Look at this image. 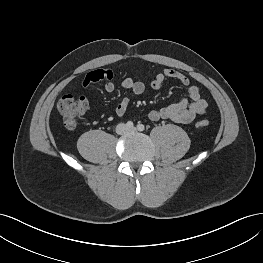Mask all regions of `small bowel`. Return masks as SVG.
Returning <instances> with one entry per match:
<instances>
[{
    "instance_id": "obj_1",
    "label": "small bowel",
    "mask_w": 263,
    "mask_h": 263,
    "mask_svg": "<svg viewBox=\"0 0 263 263\" xmlns=\"http://www.w3.org/2000/svg\"><path fill=\"white\" fill-rule=\"evenodd\" d=\"M168 78L178 81L187 88L188 99L150 111L148 114L150 120L158 121L164 119L176 123L189 124L196 118V116L205 113L207 103L201 97L199 88L191 84L190 79L177 70L163 69L158 72L151 82V88L153 90L160 89ZM101 80H106L104 89L107 93H113L116 90L115 73L111 68L88 72L83 77L81 86L82 88L87 89ZM121 86L123 89L130 90L134 95H141L146 91V85L143 82L136 81L131 77L124 78L121 82ZM128 106L129 99L123 98L116 107V115H125Z\"/></svg>"
}]
</instances>
